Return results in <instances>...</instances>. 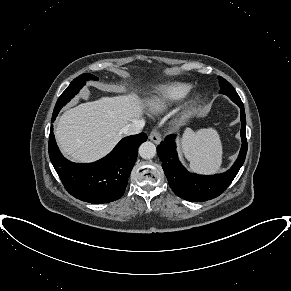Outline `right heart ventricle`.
<instances>
[{"mask_svg": "<svg viewBox=\"0 0 291 291\" xmlns=\"http://www.w3.org/2000/svg\"><path fill=\"white\" fill-rule=\"evenodd\" d=\"M192 90V86L182 82L162 85L154 95L146 99L147 108L153 113H161L168 107L182 101Z\"/></svg>", "mask_w": 291, "mask_h": 291, "instance_id": "obj_1", "label": "right heart ventricle"}]
</instances>
